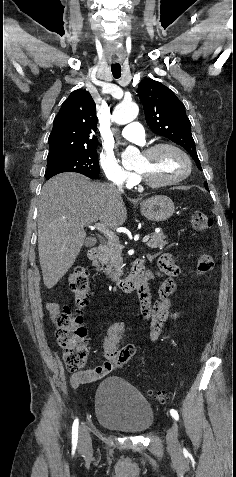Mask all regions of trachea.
I'll list each match as a JSON object with an SVG mask.
<instances>
[{
	"instance_id": "1",
	"label": "trachea",
	"mask_w": 236,
	"mask_h": 477,
	"mask_svg": "<svg viewBox=\"0 0 236 477\" xmlns=\"http://www.w3.org/2000/svg\"><path fill=\"white\" fill-rule=\"evenodd\" d=\"M111 71L114 78L118 79L121 76V66L120 64H113L111 65Z\"/></svg>"
}]
</instances>
